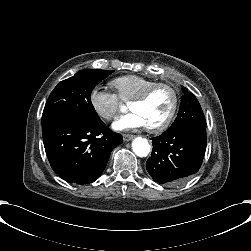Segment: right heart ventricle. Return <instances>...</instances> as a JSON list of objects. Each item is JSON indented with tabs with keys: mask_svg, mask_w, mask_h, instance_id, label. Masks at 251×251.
I'll return each instance as SVG.
<instances>
[{
	"mask_svg": "<svg viewBox=\"0 0 251 251\" xmlns=\"http://www.w3.org/2000/svg\"><path fill=\"white\" fill-rule=\"evenodd\" d=\"M155 80L136 74L117 77L112 80V86L117 90L118 96L124 101L133 100L139 96Z\"/></svg>",
	"mask_w": 251,
	"mask_h": 251,
	"instance_id": "1",
	"label": "right heart ventricle"
}]
</instances>
